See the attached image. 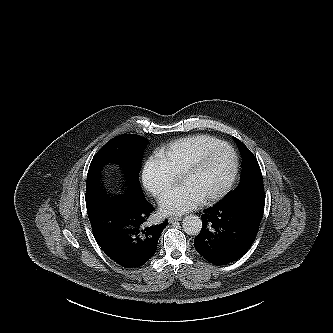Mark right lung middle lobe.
<instances>
[{
	"mask_svg": "<svg viewBox=\"0 0 333 333\" xmlns=\"http://www.w3.org/2000/svg\"><path fill=\"white\" fill-rule=\"evenodd\" d=\"M147 144L148 140L138 135H121L106 143L91 161L87 174L86 198L103 194L99 180L102 168L109 163L119 165L126 173L128 188L124 195L142 197L139 189L140 158Z\"/></svg>",
	"mask_w": 333,
	"mask_h": 333,
	"instance_id": "dd1d6c3e",
	"label": "right lung middle lobe"
}]
</instances>
